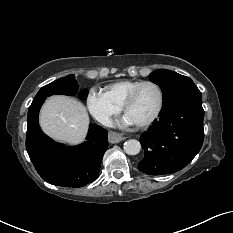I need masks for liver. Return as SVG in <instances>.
<instances>
[{
  "mask_svg": "<svg viewBox=\"0 0 233 233\" xmlns=\"http://www.w3.org/2000/svg\"><path fill=\"white\" fill-rule=\"evenodd\" d=\"M39 122L48 136L77 145L85 140L89 116L80 101L68 96L54 95L42 106Z\"/></svg>",
  "mask_w": 233,
  "mask_h": 233,
  "instance_id": "obj_1",
  "label": "liver"
}]
</instances>
